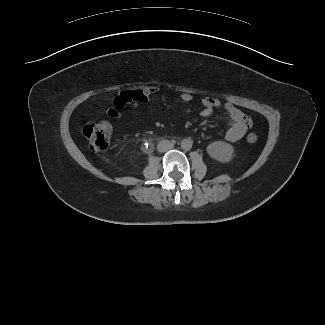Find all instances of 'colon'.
Segmentation results:
<instances>
[{"label":"colon","mask_w":325,"mask_h":325,"mask_svg":"<svg viewBox=\"0 0 325 325\" xmlns=\"http://www.w3.org/2000/svg\"><path fill=\"white\" fill-rule=\"evenodd\" d=\"M82 132L91 150L101 152L108 148L112 134V128L108 122L101 121L87 124L83 127ZM246 140L249 143H255L258 136L255 133H250L247 135Z\"/></svg>","instance_id":"obj_1"}]
</instances>
